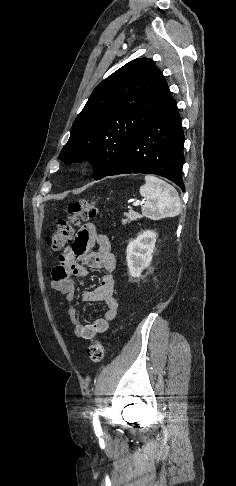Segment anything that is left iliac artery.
I'll list each match as a JSON object with an SVG mask.
<instances>
[{"instance_id":"1","label":"left iliac artery","mask_w":236,"mask_h":486,"mask_svg":"<svg viewBox=\"0 0 236 486\" xmlns=\"http://www.w3.org/2000/svg\"><path fill=\"white\" fill-rule=\"evenodd\" d=\"M93 427L96 433L101 432V426L97 414H94L93 416Z\"/></svg>"}]
</instances>
